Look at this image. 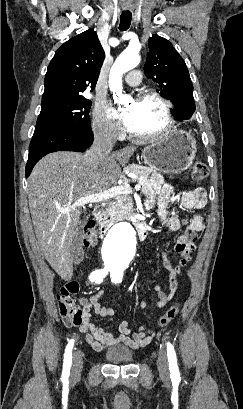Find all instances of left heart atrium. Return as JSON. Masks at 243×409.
Wrapping results in <instances>:
<instances>
[{
    "instance_id": "39dd6f15",
    "label": "left heart atrium",
    "mask_w": 243,
    "mask_h": 409,
    "mask_svg": "<svg viewBox=\"0 0 243 409\" xmlns=\"http://www.w3.org/2000/svg\"><path fill=\"white\" fill-rule=\"evenodd\" d=\"M116 117L119 119V121L123 124V126L129 130L130 128V115L126 112L122 113V114H117Z\"/></svg>"
}]
</instances>
